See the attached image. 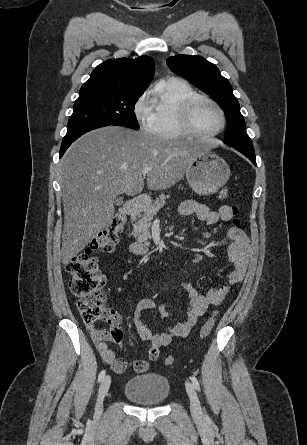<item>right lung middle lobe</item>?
I'll list each match as a JSON object with an SVG mask.
<instances>
[{
  "label": "right lung middle lobe",
  "mask_w": 307,
  "mask_h": 445,
  "mask_svg": "<svg viewBox=\"0 0 307 445\" xmlns=\"http://www.w3.org/2000/svg\"><path fill=\"white\" fill-rule=\"evenodd\" d=\"M140 96L84 95L75 101L68 131L88 125H116L139 129L134 107Z\"/></svg>",
  "instance_id": "obj_1"
}]
</instances>
